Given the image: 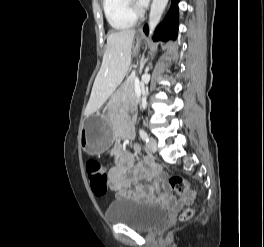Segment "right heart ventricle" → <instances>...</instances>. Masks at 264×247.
<instances>
[{"label": "right heart ventricle", "mask_w": 264, "mask_h": 247, "mask_svg": "<svg viewBox=\"0 0 264 247\" xmlns=\"http://www.w3.org/2000/svg\"><path fill=\"white\" fill-rule=\"evenodd\" d=\"M103 10L110 25L117 30L131 28L137 21L128 0H103Z\"/></svg>", "instance_id": "right-heart-ventricle-1"}]
</instances>
